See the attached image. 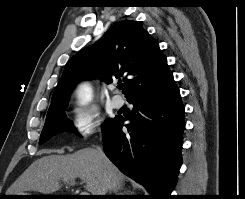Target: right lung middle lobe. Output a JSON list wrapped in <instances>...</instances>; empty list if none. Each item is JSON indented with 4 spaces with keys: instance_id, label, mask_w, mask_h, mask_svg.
Wrapping results in <instances>:
<instances>
[{
    "instance_id": "1",
    "label": "right lung middle lobe",
    "mask_w": 245,
    "mask_h": 199,
    "mask_svg": "<svg viewBox=\"0 0 245 199\" xmlns=\"http://www.w3.org/2000/svg\"><path fill=\"white\" fill-rule=\"evenodd\" d=\"M65 109L66 107H63L58 112L46 117L39 144L45 143L54 135L64 131H72L78 135L72 123L68 119H66L64 113ZM110 121L111 120L105 122V124L103 125V129L110 123Z\"/></svg>"
}]
</instances>
